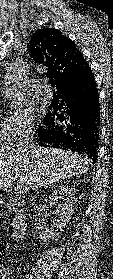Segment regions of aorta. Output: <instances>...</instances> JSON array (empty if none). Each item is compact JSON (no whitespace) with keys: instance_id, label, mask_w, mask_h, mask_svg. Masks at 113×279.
Listing matches in <instances>:
<instances>
[{"instance_id":"obj_1","label":"aorta","mask_w":113,"mask_h":279,"mask_svg":"<svg viewBox=\"0 0 113 279\" xmlns=\"http://www.w3.org/2000/svg\"><path fill=\"white\" fill-rule=\"evenodd\" d=\"M10 92H11L10 95H9L10 99L15 100L19 97V92H18L17 89H11Z\"/></svg>"}]
</instances>
